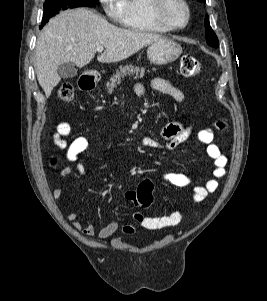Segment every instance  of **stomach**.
Returning a JSON list of instances; mask_svg holds the SVG:
<instances>
[{
	"label": "stomach",
	"instance_id": "obj_1",
	"mask_svg": "<svg viewBox=\"0 0 267 301\" xmlns=\"http://www.w3.org/2000/svg\"><path fill=\"white\" fill-rule=\"evenodd\" d=\"M182 54V47L173 40L161 38L147 48V57L151 63L165 65L177 60Z\"/></svg>",
	"mask_w": 267,
	"mask_h": 301
}]
</instances>
